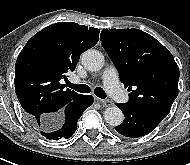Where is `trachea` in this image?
Returning <instances> with one entry per match:
<instances>
[{"label":"trachea","instance_id":"3493384b","mask_svg":"<svg viewBox=\"0 0 190 165\" xmlns=\"http://www.w3.org/2000/svg\"><path fill=\"white\" fill-rule=\"evenodd\" d=\"M66 84L69 88H71L77 92H80V93H90L91 92L90 87L85 84L76 85V84H72L70 81H68ZM94 94L96 96H98L99 98H102V99L106 98V93L101 87H96L94 89Z\"/></svg>","mask_w":190,"mask_h":165}]
</instances>
